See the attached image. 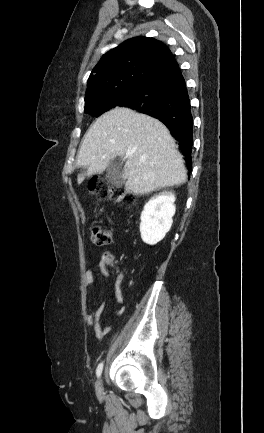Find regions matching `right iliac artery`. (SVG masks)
<instances>
[{
  "label": "right iliac artery",
  "mask_w": 264,
  "mask_h": 433,
  "mask_svg": "<svg viewBox=\"0 0 264 433\" xmlns=\"http://www.w3.org/2000/svg\"><path fill=\"white\" fill-rule=\"evenodd\" d=\"M102 370H103V363H100L98 365L97 369H96V375H97V377H100V375L102 373Z\"/></svg>",
  "instance_id": "obj_1"
}]
</instances>
